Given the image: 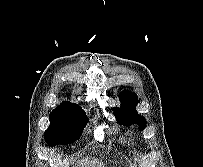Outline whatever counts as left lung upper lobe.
I'll return each mask as SVG.
<instances>
[{
    "mask_svg": "<svg viewBox=\"0 0 203 167\" xmlns=\"http://www.w3.org/2000/svg\"><path fill=\"white\" fill-rule=\"evenodd\" d=\"M120 100V108H113L117 121L126 126L137 124L139 129L143 130L146 126V119L135 110V106L138 103L137 95L131 91H123L120 94Z\"/></svg>",
    "mask_w": 203,
    "mask_h": 167,
    "instance_id": "obj_1",
    "label": "left lung upper lobe"
}]
</instances>
